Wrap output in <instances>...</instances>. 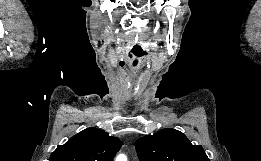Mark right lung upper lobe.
<instances>
[{
  "instance_id": "cb5924a9",
  "label": "right lung upper lobe",
  "mask_w": 261,
  "mask_h": 161,
  "mask_svg": "<svg viewBox=\"0 0 261 161\" xmlns=\"http://www.w3.org/2000/svg\"><path fill=\"white\" fill-rule=\"evenodd\" d=\"M122 142L98 128H87L59 145L50 161H112Z\"/></svg>"
}]
</instances>
